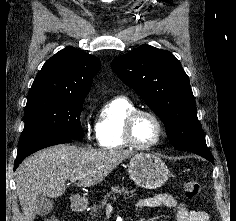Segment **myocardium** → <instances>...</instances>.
Listing matches in <instances>:
<instances>
[{
	"mask_svg": "<svg viewBox=\"0 0 236 221\" xmlns=\"http://www.w3.org/2000/svg\"><path fill=\"white\" fill-rule=\"evenodd\" d=\"M142 115H147L151 117L156 122L158 127V136L156 140L148 145H141L138 142H136L133 134L135 121ZM123 135L126 143L129 146L138 150H149L160 144L165 135V129L162 120L156 113L148 109H135L131 113H129V115L125 119L123 127Z\"/></svg>",
	"mask_w": 236,
	"mask_h": 221,
	"instance_id": "1",
	"label": "myocardium"
}]
</instances>
